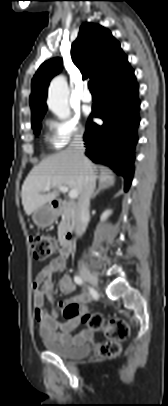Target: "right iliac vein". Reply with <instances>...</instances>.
<instances>
[{"instance_id":"obj_1","label":"right iliac vein","mask_w":168,"mask_h":406,"mask_svg":"<svg viewBox=\"0 0 168 406\" xmlns=\"http://www.w3.org/2000/svg\"><path fill=\"white\" fill-rule=\"evenodd\" d=\"M81 277L89 282L92 286L97 287L98 281L95 275H93L88 269L83 268L80 272Z\"/></svg>"}]
</instances>
